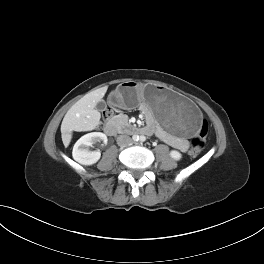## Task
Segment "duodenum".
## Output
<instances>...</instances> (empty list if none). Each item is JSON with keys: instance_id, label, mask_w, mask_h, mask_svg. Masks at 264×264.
I'll list each match as a JSON object with an SVG mask.
<instances>
[{"instance_id": "obj_1", "label": "duodenum", "mask_w": 264, "mask_h": 264, "mask_svg": "<svg viewBox=\"0 0 264 264\" xmlns=\"http://www.w3.org/2000/svg\"><path fill=\"white\" fill-rule=\"evenodd\" d=\"M120 130H122L124 133H127V134H139V133L148 132V129L139 128V127L132 126V125H128L120 129V127L114 120L107 121L104 126V131L109 136L116 135Z\"/></svg>"}]
</instances>
